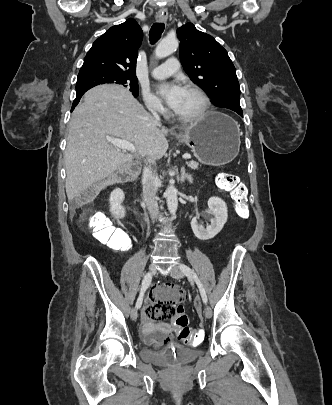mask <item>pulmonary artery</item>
I'll use <instances>...</instances> for the list:
<instances>
[{
  "instance_id": "pulmonary-artery-1",
  "label": "pulmonary artery",
  "mask_w": 332,
  "mask_h": 405,
  "mask_svg": "<svg viewBox=\"0 0 332 405\" xmlns=\"http://www.w3.org/2000/svg\"><path fill=\"white\" fill-rule=\"evenodd\" d=\"M178 70V60L170 58L162 65L155 67L152 70V76L157 79L168 77Z\"/></svg>"
}]
</instances>
